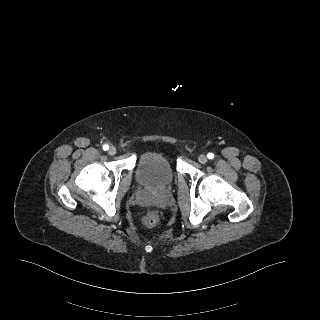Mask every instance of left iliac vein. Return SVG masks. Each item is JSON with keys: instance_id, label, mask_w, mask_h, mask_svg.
<instances>
[{"instance_id": "obj_1", "label": "left iliac vein", "mask_w": 320, "mask_h": 320, "mask_svg": "<svg viewBox=\"0 0 320 320\" xmlns=\"http://www.w3.org/2000/svg\"><path fill=\"white\" fill-rule=\"evenodd\" d=\"M198 161L201 163V164H204L207 162V157L205 155H200L198 157Z\"/></svg>"}]
</instances>
